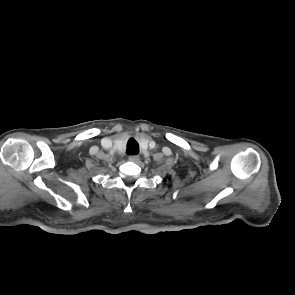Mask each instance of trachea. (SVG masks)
Listing matches in <instances>:
<instances>
[{
  "label": "trachea",
  "mask_w": 295,
  "mask_h": 295,
  "mask_svg": "<svg viewBox=\"0 0 295 295\" xmlns=\"http://www.w3.org/2000/svg\"><path fill=\"white\" fill-rule=\"evenodd\" d=\"M128 155H136L139 152V145L136 140L131 138L127 143V150Z\"/></svg>",
  "instance_id": "1"
}]
</instances>
